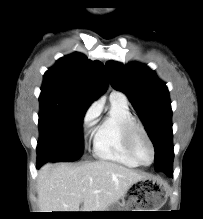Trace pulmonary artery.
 Wrapping results in <instances>:
<instances>
[{
	"mask_svg": "<svg viewBox=\"0 0 203 219\" xmlns=\"http://www.w3.org/2000/svg\"><path fill=\"white\" fill-rule=\"evenodd\" d=\"M111 100H115L124 104H127V98L126 96L119 91H113L110 95Z\"/></svg>",
	"mask_w": 203,
	"mask_h": 219,
	"instance_id": "1",
	"label": "pulmonary artery"
}]
</instances>
